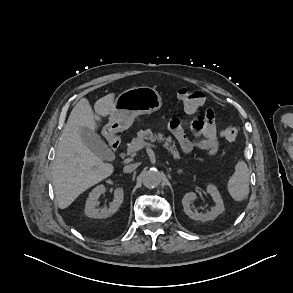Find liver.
I'll use <instances>...</instances> for the list:
<instances>
[{
	"instance_id": "1",
	"label": "liver",
	"mask_w": 293,
	"mask_h": 293,
	"mask_svg": "<svg viewBox=\"0 0 293 293\" xmlns=\"http://www.w3.org/2000/svg\"><path fill=\"white\" fill-rule=\"evenodd\" d=\"M115 94L96 101L94 114L89 101L82 98L72 109L58 142L52 165V179L59 208L65 209L84 191L109 177L114 172L82 141L80 128L97 129L99 116L111 115Z\"/></svg>"
}]
</instances>
